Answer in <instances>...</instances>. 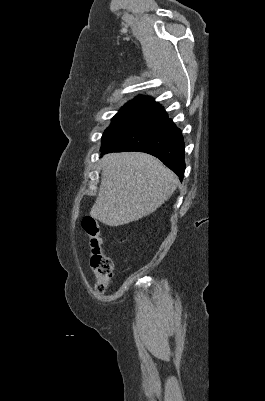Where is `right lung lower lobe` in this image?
<instances>
[{
  "mask_svg": "<svg viewBox=\"0 0 265 401\" xmlns=\"http://www.w3.org/2000/svg\"><path fill=\"white\" fill-rule=\"evenodd\" d=\"M140 151L159 158L182 181L185 146L181 130L163 109L148 119L124 130L111 141L102 143L101 152Z\"/></svg>",
  "mask_w": 265,
  "mask_h": 401,
  "instance_id": "obj_1",
  "label": "right lung lower lobe"
}]
</instances>
